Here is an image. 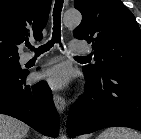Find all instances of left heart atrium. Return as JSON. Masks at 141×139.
Instances as JSON below:
<instances>
[{
    "instance_id": "obj_1",
    "label": "left heart atrium",
    "mask_w": 141,
    "mask_h": 139,
    "mask_svg": "<svg viewBox=\"0 0 141 139\" xmlns=\"http://www.w3.org/2000/svg\"><path fill=\"white\" fill-rule=\"evenodd\" d=\"M38 79L52 89H62L69 81V70L64 65H56L39 73Z\"/></svg>"
}]
</instances>
